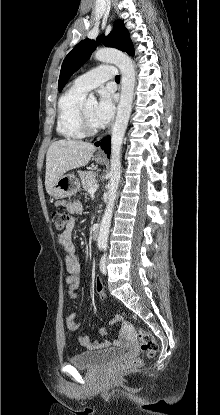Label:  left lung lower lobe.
<instances>
[{
  "instance_id": "0a47b994",
  "label": "left lung lower lobe",
  "mask_w": 220,
  "mask_h": 415,
  "mask_svg": "<svg viewBox=\"0 0 220 415\" xmlns=\"http://www.w3.org/2000/svg\"><path fill=\"white\" fill-rule=\"evenodd\" d=\"M95 146H101V148L107 153V156H110V150H111V143H110V136H107L104 140L101 142H96Z\"/></svg>"
}]
</instances>
